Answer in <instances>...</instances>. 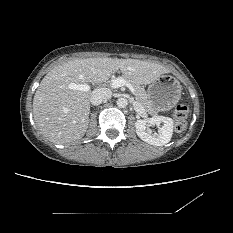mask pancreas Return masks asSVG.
I'll use <instances>...</instances> for the list:
<instances>
[{
	"instance_id": "obj_1",
	"label": "pancreas",
	"mask_w": 233,
	"mask_h": 233,
	"mask_svg": "<svg viewBox=\"0 0 233 233\" xmlns=\"http://www.w3.org/2000/svg\"><path fill=\"white\" fill-rule=\"evenodd\" d=\"M124 78V76L122 77ZM125 79V78H124ZM127 82L131 83L135 89V99L136 101L143 107L145 108L149 113L153 114L156 113L155 109L151 106L147 93L143 87H141L137 83H133L127 79H125Z\"/></svg>"
}]
</instances>
